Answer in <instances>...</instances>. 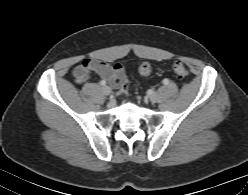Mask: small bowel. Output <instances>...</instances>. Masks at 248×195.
<instances>
[{"mask_svg": "<svg viewBox=\"0 0 248 195\" xmlns=\"http://www.w3.org/2000/svg\"><path fill=\"white\" fill-rule=\"evenodd\" d=\"M83 72V74H78ZM98 75L111 88L117 89L125 78L124 67L119 64H111L102 60H85L74 69V78L78 83L90 80L91 74Z\"/></svg>", "mask_w": 248, "mask_h": 195, "instance_id": "c3829d8e", "label": "small bowel"}]
</instances>
